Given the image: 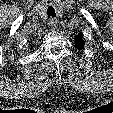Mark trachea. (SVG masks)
Masks as SVG:
<instances>
[{
	"mask_svg": "<svg viewBox=\"0 0 113 113\" xmlns=\"http://www.w3.org/2000/svg\"><path fill=\"white\" fill-rule=\"evenodd\" d=\"M47 15H48V18L50 17H56V13H55V10L52 6H49L47 8Z\"/></svg>",
	"mask_w": 113,
	"mask_h": 113,
	"instance_id": "obj_1",
	"label": "trachea"
}]
</instances>
